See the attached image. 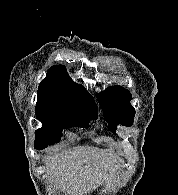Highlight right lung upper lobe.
Returning <instances> with one entry per match:
<instances>
[{"instance_id":"right-lung-upper-lobe-1","label":"right lung upper lobe","mask_w":178,"mask_h":195,"mask_svg":"<svg viewBox=\"0 0 178 195\" xmlns=\"http://www.w3.org/2000/svg\"><path fill=\"white\" fill-rule=\"evenodd\" d=\"M39 104L79 105L97 107L92 96L84 87L76 84L64 66H52L38 87Z\"/></svg>"}]
</instances>
